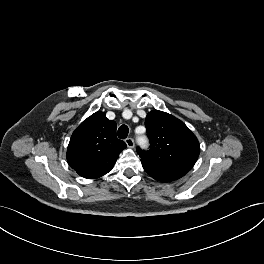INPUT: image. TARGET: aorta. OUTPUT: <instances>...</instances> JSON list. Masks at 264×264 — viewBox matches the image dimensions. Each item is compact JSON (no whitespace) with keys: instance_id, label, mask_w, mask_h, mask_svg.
<instances>
[{"instance_id":"1","label":"aorta","mask_w":264,"mask_h":264,"mask_svg":"<svg viewBox=\"0 0 264 264\" xmlns=\"http://www.w3.org/2000/svg\"><path fill=\"white\" fill-rule=\"evenodd\" d=\"M137 142L139 143V145H141L142 147L146 146V140L143 137H138L137 138Z\"/></svg>"}]
</instances>
